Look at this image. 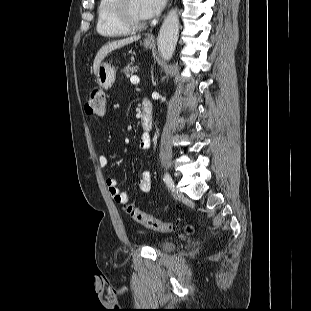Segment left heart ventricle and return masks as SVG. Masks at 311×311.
<instances>
[{"instance_id":"obj_1","label":"left heart ventricle","mask_w":311,"mask_h":311,"mask_svg":"<svg viewBox=\"0 0 311 311\" xmlns=\"http://www.w3.org/2000/svg\"><path fill=\"white\" fill-rule=\"evenodd\" d=\"M128 10L135 21L142 22L146 20L140 13L139 0H128Z\"/></svg>"}]
</instances>
